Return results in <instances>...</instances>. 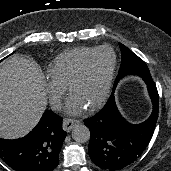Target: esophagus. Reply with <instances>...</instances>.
<instances>
[{
    "instance_id": "34e87169",
    "label": "esophagus",
    "mask_w": 171,
    "mask_h": 171,
    "mask_svg": "<svg viewBox=\"0 0 171 171\" xmlns=\"http://www.w3.org/2000/svg\"><path fill=\"white\" fill-rule=\"evenodd\" d=\"M80 123L79 120H76V119H65L63 121V129L66 131V132H69L71 131L76 125H78Z\"/></svg>"
}]
</instances>
